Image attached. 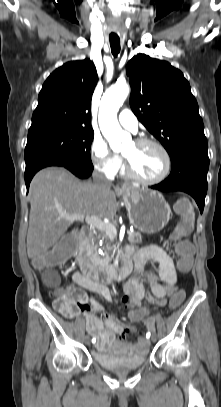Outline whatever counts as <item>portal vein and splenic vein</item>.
Instances as JSON below:
<instances>
[{
  "mask_svg": "<svg viewBox=\"0 0 221 407\" xmlns=\"http://www.w3.org/2000/svg\"><path fill=\"white\" fill-rule=\"evenodd\" d=\"M66 219L71 221L75 220H83L85 219L86 223L92 227H95L105 233L114 236L117 234V229L114 225L104 222L101 218L94 216V215H82V214H71V215H63ZM128 231L127 233H129Z\"/></svg>",
  "mask_w": 221,
  "mask_h": 407,
  "instance_id": "1",
  "label": "portal vein and splenic vein"
}]
</instances>
